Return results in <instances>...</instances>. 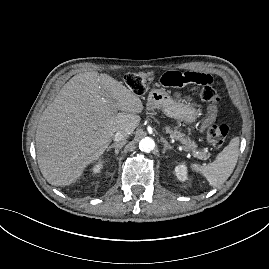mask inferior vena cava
I'll use <instances>...</instances> for the list:
<instances>
[{
	"instance_id": "602c4592",
	"label": "inferior vena cava",
	"mask_w": 269,
	"mask_h": 269,
	"mask_svg": "<svg viewBox=\"0 0 269 269\" xmlns=\"http://www.w3.org/2000/svg\"><path fill=\"white\" fill-rule=\"evenodd\" d=\"M129 135L130 134L127 131H123V130L117 131L114 135V141L119 142V143L126 142Z\"/></svg>"
}]
</instances>
